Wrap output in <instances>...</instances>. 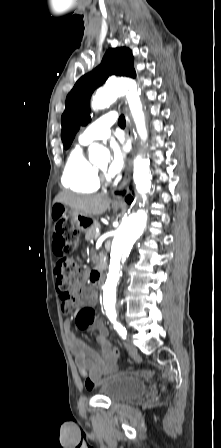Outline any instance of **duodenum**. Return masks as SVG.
Masks as SVG:
<instances>
[{
    "mask_svg": "<svg viewBox=\"0 0 221 448\" xmlns=\"http://www.w3.org/2000/svg\"><path fill=\"white\" fill-rule=\"evenodd\" d=\"M90 279L95 286L100 287L103 284L102 269L93 270Z\"/></svg>",
    "mask_w": 221,
    "mask_h": 448,
    "instance_id": "duodenum-1",
    "label": "duodenum"
}]
</instances>
